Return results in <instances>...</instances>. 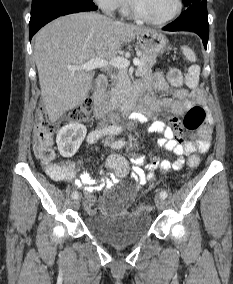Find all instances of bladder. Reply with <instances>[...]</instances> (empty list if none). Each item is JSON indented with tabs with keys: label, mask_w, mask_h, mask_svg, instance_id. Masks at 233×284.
I'll return each mask as SVG.
<instances>
[{
	"label": "bladder",
	"mask_w": 233,
	"mask_h": 284,
	"mask_svg": "<svg viewBox=\"0 0 233 284\" xmlns=\"http://www.w3.org/2000/svg\"><path fill=\"white\" fill-rule=\"evenodd\" d=\"M135 197V189L125 186L117 196L110 194L104 199L109 205L129 204ZM84 225L95 238L116 246L131 244L142 239L152 226L150 214L143 209L122 213H98L87 216Z\"/></svg>",
	"instance_id": "31cf9c89"
}]
</instances>
